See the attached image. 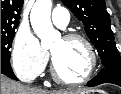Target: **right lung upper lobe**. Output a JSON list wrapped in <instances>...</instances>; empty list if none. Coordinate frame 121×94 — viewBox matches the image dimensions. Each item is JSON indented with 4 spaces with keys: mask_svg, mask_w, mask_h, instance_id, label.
Wrapping results in <instances>:
<instances>
[{
    "mask_svg": "<svg viewBox=\"0 0 121 94\" xmlns=\"http://www.w3.org/2000/svg\"><path fill=\"white\" fill-rule=\"evenodd\" d=\"M23 0H1V33L15 31L18 27Z\"/></svg>",
    "mask_w": 121,
    "mask_h": 94,
    "instance_id": "right-lung-upper-lobe-1",
    "label": "right lung upper lobe"
}]
</instances>
